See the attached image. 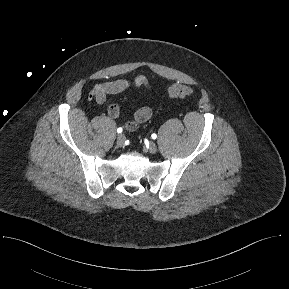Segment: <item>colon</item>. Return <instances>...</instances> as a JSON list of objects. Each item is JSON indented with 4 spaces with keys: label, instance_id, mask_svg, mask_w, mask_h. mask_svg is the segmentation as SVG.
Here are the masks:
<instances>
[{
    "label": "colon",
    "instance_id": "5ec220e1",
    "mask_svg": "<svg viewBox=\"0 0 289 289\" xmlns=\"http://www.w3.org/2000/svg\"><path fill=\"white\" fill-rule=\"evenodd\" d=\"M193 93V89L190 86L183 84H176L169 88L168 95L170 98L178 99L190 96Z\"/></svg>",
    "mask_w": 289,
    "mask_h": 289
}]
</instances>
